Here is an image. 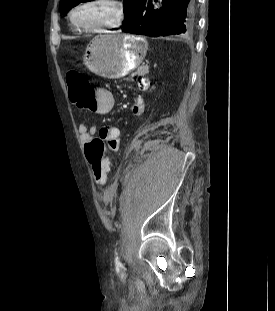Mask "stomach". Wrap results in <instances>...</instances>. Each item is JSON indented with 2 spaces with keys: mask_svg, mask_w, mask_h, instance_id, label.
<instances>
[{
  "mask_svg": "<svg viewBox=\"0 0 275 311\" xmlns=\"http://www.w3.org/2000/svg\"><path fill=\"white\" fill-rule=\"evenodd\" d=\"M144 38L134 35H98L87 45L83 64L93 73L108 79L126 76L146 55Z\"/></svg>",
  "mask_w": 275,
  "mask_h": 311,
  "instance_id": "stomach-1",
  "label": "stomach"
}]
</instances>
